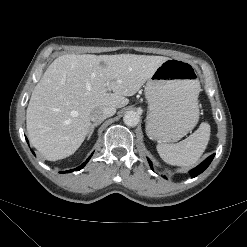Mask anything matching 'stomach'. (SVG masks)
<instances>
[{"instance_id":"stomach-1","label":"stomach","mask_w":247,"mask_h":247,"mask_svg":"<svg viewBox=\"0 0 247 247\" xmlns=\"http://www.w3.org/2000/svg\"><path fill=\"white\" fill-rule=\"evenodd\" d=\"M195 76L188 62L168 59L148 79L146 133L150 139L163 144L176 142L196 126L200 87Z\"/></svg>"}]
</instances>
